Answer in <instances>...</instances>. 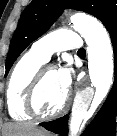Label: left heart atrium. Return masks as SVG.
<instances>
[{"mask_svg":"<svg viewBox=\"0 0 117 136\" xmlns=\"http://www.w3.org/2000/svg\"><path fill=\"white\" fill-rule=\"evenodd\" d=\"M57 78L60 86L68 92L72 83V69L68 66H62L57 70Z\"/></svg>","mask_w":117,"mask_h":136,"instance_id":"1","label":"left heart atrium"}]
</instances>
